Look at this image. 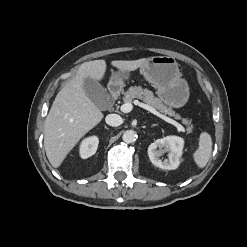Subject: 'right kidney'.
Wrapping results in <instances>:
<instances>
[{"instance_id": "ca27d5eb", "label": "right kidney", "mask_w": 247, "mask_h": 247, "mask_svg": "<svg viewBox=\"0 0 247 247\" xmlns=\"http://www.w3.org/2000/svg\"><path fill=\"white\" fill-rule=\"evenodd\" d=\"M99 139L97 136L85 138L80 145V157L86 159L94 155L97 151Z\"/></svg>"}]
</instances>
